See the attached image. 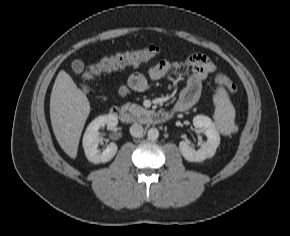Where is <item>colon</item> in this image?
Here are the masks:
<instances>
[{
    "label": "colon",
    "mask_w": 290,
    "mask_h": 236,
    "mask_svg": "<svg viewBox=\"0 0 290 236\" xmlns=\"http://www.w3.org/2000/svg\"><path fill=\"white\" fill-rule=\"evenodd\" d=\"M159 53L160 50L156 46H147L136 50L115 53L102 58L99 62L90 66L83 74V78L88 82L103 72L154 59ZM216 82L230 95L236 94V86L226 75L218 74L216 76ZM84 89L88 90V87L85 86Z\"/></svg>",
    "instance_id": "5ec220e1"
}]
</instances>
